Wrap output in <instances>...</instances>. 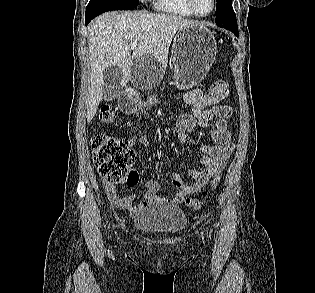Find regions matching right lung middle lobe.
I'll return each instance as SVG.
<instances>
[{
    "label": "right lung middle lobe",
    "mask_w": 315,
    "mask_h": 293,
    "mask_svg": "<svg viewBox=\"0 0 315 293\" xmlns=\"http://www.w3.org/2000/svg\"><path fill=\"white\" fill-rule=\"evenodd\" d=\"M118 4H121L123 6H127V7H137L139 0H112Z\"/></svg>",
    "instance_id": "dd1d6c3e"
}]
</instances>
